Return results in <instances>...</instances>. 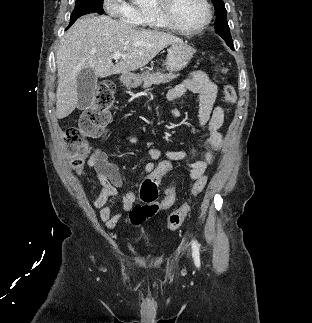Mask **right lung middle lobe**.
Masks as SVG:
<instances>
[{"label": "right lung middle lobe", "instance_id": "right-lung-middle-lobe-1", "mask_svg": "<svg viewBox=\"0 0 312 323\" xmlns=\"http://www.w3.org/2000/svg\"><path fill=\"white\" fill-rule=\"evenodd\" d=\"M90 12L103 14L102 0H76L75 9L70 17L69 27L82 15Z\"/></svg>", "mask_w": 312, "mask_h": 323}]
</instances>
